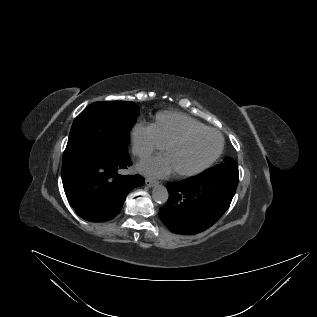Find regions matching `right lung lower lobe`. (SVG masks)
<instances>
[{"label": "right lung lower lobe", "mask_w": 317, "mask_h": 317, "mask_svg": "<svg viewBox=\"0 0 317 317\" xmlns=\"http://www.w3.org/2000/svg\"><path fill=\"white\" fill-rule=\"evenodd\" d=\"M130 165L129 155L122 153L62 170L64 190L76 213L94 222L113 219L121 211L130 190L144 183L140 175L119 174Z\"/></svg>", "instance_id": "98d812e1"}]
</instances>
